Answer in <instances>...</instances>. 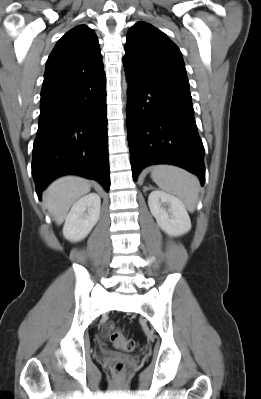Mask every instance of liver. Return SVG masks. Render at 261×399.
Masks as SVG:
<instances>
[{"mask_svg": "<svg viewBox=\"0 0 261 399\" xmlns=\"http://www.w3.org/2000/svg\"><path fill=\"white\" fill-rule=\"evenodd\" d=\"M90 189V181L76 176L57 179L47 188L44 203L58 225L64 221L70 207Z\"/></svg>", "mask_w": 261, "mask_h": 399, "instance_id": "liver-1", "label": "liver"}]
</instances>
